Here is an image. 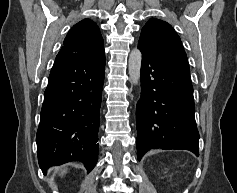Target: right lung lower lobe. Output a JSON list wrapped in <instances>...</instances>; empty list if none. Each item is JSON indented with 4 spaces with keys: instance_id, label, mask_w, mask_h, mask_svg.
<instances>
[{
    "instance_id": "right-lung-lower-lobe-1",
    "label": "right lung lower lobe",
    "mask_w": 237,
    "mask_h": 193,
    "mask_svg": "<svg viewBox=\"0 0 237 193\" xmlns=\"http://www.w3.org/2000/svg\"><path fill=\"white\" fill-rule=\"evenodd\" d=\"M105 55L81 59L59 52L44 93L36 142L40 168L98 160L99 111Z\"/></svg>"
}]
</instances>
